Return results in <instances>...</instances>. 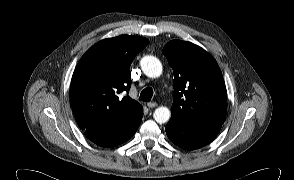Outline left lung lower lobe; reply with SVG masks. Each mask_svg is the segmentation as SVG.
I'll list each match as a JSON object with an SVG mask.
<instances>
[{
    "instance_id": "0a47b994",
    "label": "left lung lower lobe",
    "mask_w": 294,
    "mask_h": 180,
    "mask_svg": "<svg viewBox=\"0 0 294 180\" xmlns=\"http://www.w3.org/2000/svg\"><path fill=\"white\" fill-rule=\"evenodd\" d=\"M221 127L222 125L190 126L171 117L165 130L174 144L186 150H194L208 145Z\"/></svg>"
}]
</instances>
